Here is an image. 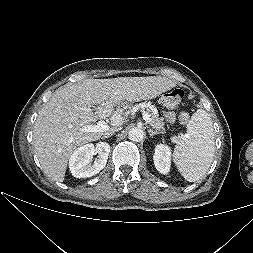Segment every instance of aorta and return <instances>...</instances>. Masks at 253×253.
Returning a JSON list of instances; mask_svg holds the SVG:
<instances>
[{
	"mask_svg": "<svg viewBox=\"0 0 253 253\" xmlns=\"http://www.w3.org/2000/svg\"><path fill=\"white\" fill-rule=\"evenodd\" d=\"M129 139L133 142H140L144 138V131L141 128L135 127L129 130Z\"/></svg>",
	"mask_w": 253,
	"mask_h": 253,
	"instance_id": "762f6f07",
	"label": "aorta"
}]
</instances>
